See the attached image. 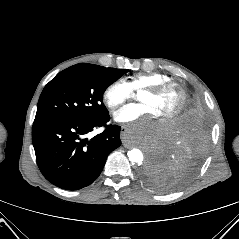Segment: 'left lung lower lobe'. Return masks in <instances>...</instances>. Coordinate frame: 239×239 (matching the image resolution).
<instances>
[{"label":"left lung lower lobe","mask_w":239,"mask_h":239,"mask_svg":"<svg viewBox=\"0 0 239 239\" xmlns=\"http://www.w3.org/2000/svg\"><path fill=\"white\" fill-rule=\"evenodd\" d=\"M208 131L203 104L199 97H191L173 127L151 151L144 178H154L163 191L188 182L203 161Z\"/></svg>","instance_id":"obj_1"}]
</instances>
